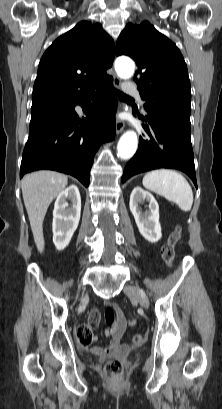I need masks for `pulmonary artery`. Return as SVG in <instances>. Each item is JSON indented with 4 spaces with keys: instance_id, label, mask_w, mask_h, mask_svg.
Instances as JSON below:
<instances>
[{
    "instance_id": "1",
    "label": "pulmonary artery",
    "mask_w": 222,
    "mask_h": 409,
    "mask_svg": "<svg viewBox=\"0 0 222 409\" xmlns=\"http://www.w3.org/2000/svg\"><path fill=\"white\" fill-rule=\"evenodd\" d=\"M124 91L127 95H134L139 97V91L135 85L126 84L124 86Z\"/></svg>"
}]
</instances>
